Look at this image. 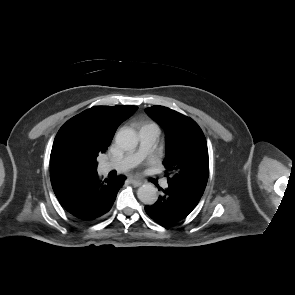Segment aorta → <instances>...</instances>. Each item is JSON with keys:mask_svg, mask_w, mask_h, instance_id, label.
<instances>
[{"mask_svg": "<svg viewBox=\"0 0 295 295\" xmlns=\"http://www.w3.org/2000/svg\"><path fill=\"white\" fill-rule=\"evenodd\" d=\"M116 144L123 150H133L138 145V138L134 130L122 128L115 137ZM138 199L146 204L152 205L157 201V189L152 184H143L137 190Z\"/></svg>", "mask_w": 295, "mask_h": 295, "instance_id": "aorta-1", "label": "aorta"}]
</instances>
